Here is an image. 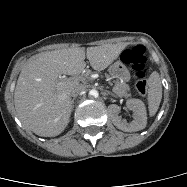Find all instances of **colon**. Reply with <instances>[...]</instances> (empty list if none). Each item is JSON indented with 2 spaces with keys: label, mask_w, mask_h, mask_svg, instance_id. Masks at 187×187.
<instances>
[{
  "label": "colon",
  "mask_w": 187,
  "mask_h": 187,
  "mask_svg": "<svg viewBox=\"0 0 187 187\" xmlns=\"http://www.w3.org/2000/svg\"><path fill=\"white\" fill-rule=\"evenodd\" d=\"M122 60L132 66L136 76L135 88L139 94L144 95L148 88L145 48L142 45H136L125 50Z\"/></svg>",
  "instance_id": "obj_1"
}]
</instances>
